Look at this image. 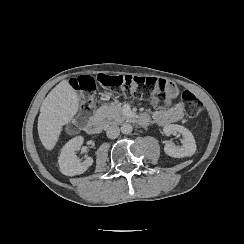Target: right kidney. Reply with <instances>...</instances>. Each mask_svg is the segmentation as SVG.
Wrapping results in <instances>:
<instances>
[{
    "label": "right kidney",
    "instance_id": "obj_1",
    "mask_svg": "<svg viewBox=\"0 0 244 244\" xmlns=\"http://www.w3.org/2000/svg\"><path fill=\"white\" fill-rule=\"evenodd\" d=\"M84 138L76 136L69 140L62 148L58 163L60 171L66 176H74L84 173L93 164L91 157L81 162L75 155V151L81 147Z\"/></svg>",
    "mask_w": 244,
    "mask_h": 244
}]
</instances>
